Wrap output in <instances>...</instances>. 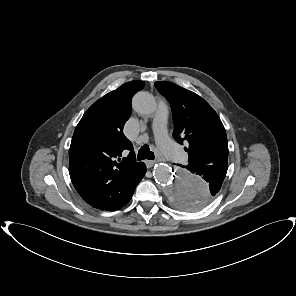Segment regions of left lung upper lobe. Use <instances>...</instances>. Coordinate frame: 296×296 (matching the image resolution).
<instances>
[{
  "label": "left lung upper lobe",
  "instance_id": "5c2ea615",
  "mask_svg": "<svg viewBox=\"0 0 296 296\" xmlns=\"http://www.w3.org/2000/svg\"><path fill=\"white\" fill-rule=\"evenodd\" d=\"M157 90L164 95L172 108L174 118V138L180 144L186 140L188 165L183 166L191 172L197 165H228V142L225 128L213 108L197 94L168 81L155 82ZM202 177V176H201ZM194 192L179 191L173 204L184 210H198L192 198Z\"/></svg>",
  "mask_w": 296,
  "mask_h": 296
}]
</instances>
